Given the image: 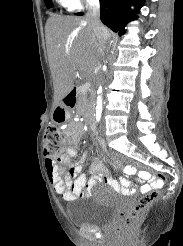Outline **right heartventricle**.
Masks as SVG:
<instances>
[{
	"mask_svg": "<svg viewBox=\"0 0 183 246\" xmlns=\"http://www.w3.org/2000/svg\"><path fill=\"white\" fill-rule=\"evenodd\" d=\"M60 5L69 8V9H73L70 5V3L67 0H56Z\"/></svg>",
	"mask_w": 183,
	"mask_h": 246,
	"instance_id": "right-heart-ventricle-1",
	"label": "right heart ventricle"
}]
</instances>
